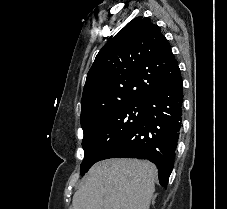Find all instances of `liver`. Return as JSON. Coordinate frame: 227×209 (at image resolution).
<instances>
[{
    "label": "liver",
    "instance_id": "1",
    "mask_svg": "<svg viewBox=\"0 0 227 209\" xmlns=\"http://www.w3.org/2000/svg\"><path fill=\"white\" fill-rule=\"evenodd\" d=\"M88 173L73 197V209H149L157 175L149 161L107 159Z\"/></svg>",
    "mask_w": 227,
    "mask_h": 209
}]
</instances>
